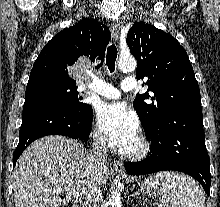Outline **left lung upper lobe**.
I'll list each match as a JSON object with an SVG mask.
<instances>
[{"mask_svg":"<svg viewBox=\"0 0 220 207\" xmlns=\"http://www.w3.org/2000/svg\"><path fill=\"white\" fill-rule=\"evenodd\" d=\"M127 44L138 62L137 79L147 77L148 91L153 93L151 96L148 91L138 94L134 100L145 134L179 109L201 106L200 90L189 57L173 36L138 22L129 29Z\"/></svg>","mask_w":220,"mask_h":207,"instance_id":"1","label":"left lung upper lobe"}]
</instances>
